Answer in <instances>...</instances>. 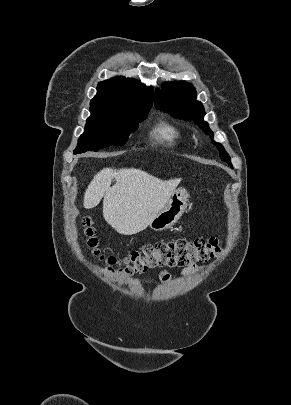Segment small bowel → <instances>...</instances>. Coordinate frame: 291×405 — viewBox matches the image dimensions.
Wrapping results in <instances>:
<instances>
[{
	"instance_id": "c3829d8e",
	"label": "small bowel",
	"mask_w": 291,
	"mask_h": 405,
	"mask_svg": "<svg viewBox=\"0 0 291 405\" xmlns=\"http://www.w3.org/2000/svg\"><path fill=\"white\" fill-rule=\"evenodd\" d=\"M200 269H201V267L198 266L197 264H192V265H190L188 267L183 268L181 272H182V274L187 275V274H192V273H194V272H196V271H198ZM169 279H170V275H169V273L167 271H163L160 274V280L162 282H167V281H169ZM139 281L140 280H137V282H139Z\"/></svg>"
}]
</instances>
